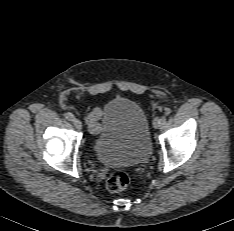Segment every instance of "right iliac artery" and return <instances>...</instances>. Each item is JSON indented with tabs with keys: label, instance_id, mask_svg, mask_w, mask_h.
<instances>
[{
	"label": "right iliac artery",
	"instance_id": "82829eb1",
	"mask_svg": "<svg viewBox=\"0 0 234 231\" xmlns=\"http://www.w3.org/2000/svg\"><path fill=\"white\" fill-rule=\"evenodd\" d=\"M65 117L69 121H73V119H74V115L72 113H69V112L65 114Z\"/></svg>",
	"mask_w": 234,
	"mask_h": 231
}]
</instances>
